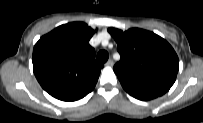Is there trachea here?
<instances>
[{
	"label": "trachea",
	"mask_w": 203,
	"mask_h": 123,
	"mask_svg": "<svg viewBox=\"0 0 203 123\" xmlns=\"http://www.w3.org/2000/svg\"><path fill=\"white\" fill-rule=\"evenodd\" d=\"M109 54L105 50H101L97 54V60L99 62L105 63L108 60Z\"/></svg>",
	"instance_id": "trachea-1"
}]
</instances>
